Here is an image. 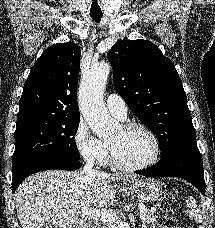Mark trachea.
Segmentation results:
<instances>
[{"instance_id":"3493384b","label":"trachea","mask_w":215,"mask_h":228,"mask_svg":"<svg viewBox=\"0 0 215 228\" xmlns=\"http://www.w3.org/2000/svg\"><path fill=\"white\" fill-rule=\"evenodd\" d=\"M91 18L95 21V22H100L101 18H102V14H90Z\"/></svg>"}]
</instances>
